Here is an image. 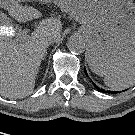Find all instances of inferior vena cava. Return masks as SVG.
I'll return each instance as SVG.
<instances>
[{"label":"inferior vena cava","mask_w":135,"mask_h":135,"mask_svg":"<svg viewBox=\"0 0 135 135\" xmlns=\"http://www.w3.org/2000/svg\"><path fill=\"white\" fill-rule=\"evenodd\" d=\"M54 40H55L54 36H50V37L47 38V43L51 44V43L54 42Z\"/></svg>","instance_id":"602c4592"}]
</instances>
